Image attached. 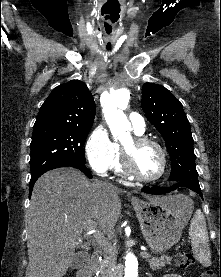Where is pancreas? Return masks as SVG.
<instances>
[{
	"label": "pancreas",
	"instance_id": "1",
	"mask_svg": "<svg viewBox=\"0 0 221 277\" xmlns=\"http://www.w3.org/2000/svg\"><path fill=\"white\" fill-rule=\"evenodd\" d=\"M103 251L105 252V259L102 263V269L100 272L101 277H116L112 272V270L116 266L115 248L110 242H108L106 247L103 248ZM147 261L152 270H159L165 267L166 265L170 264L172 261V257L162 255L160 258H148Z\"/></svg>",
	"mask_w": 221,
	"mask_h": 277
}]
</instances>
